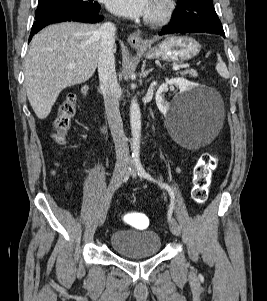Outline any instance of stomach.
<instances>
[{
	"instance_id": "stomach-1",
	"label": "stomach",
	"mask_w": 267,
	"mask_h": 301,
	"mask_svg": "<svg viewBox=\"0 0 267 301\" xmlns=\"http://www.w3.org/2000/svg\"><path fill=\"white\" fill-rule=\"evenodd\" d=\"M135 49L143 53L147 58L182 62L194 58L200 52L201 45L190 37L169 36L156 47L146 49L142 46H135Z\"/></svg>"
}]
</instances>
